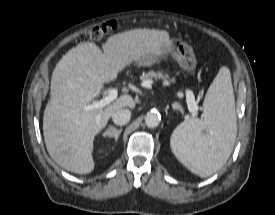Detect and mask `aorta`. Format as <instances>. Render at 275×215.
I'll return each mask as SVG.
<instances>
[{"mask_svg": "<svg viewBox=\"0 0 275 215\" xmlns=\"http://www.w3.org/2000/svg\"><path fill=\"white\" fill-rule=\"evenodd\" d=\"M161 115L157 111H149L145 116V123L148 127H157L160 123Z\"/></svg>", "mask_w": 275, "mask_h": 215, "instance_id": "1", "label": "aorta"}]
</instances>
